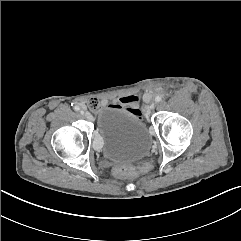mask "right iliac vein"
I'll return each instance as SVG.
<instances>
[{"label":"right iliac vein","mask_w":241,"mask_h":241,"mask_svg":"<svg viewBox=\"0 0 241 241\" xmlns=\"http://www.w3.org/2000/svg\"><path fill=\"white\" fill-rule=\"evenodd\" d=\"M82 115H84V116H86V117H88L89 116V113L88 112H85L84 110H81V112H80Z\"/></svg>","instance_id":"1"}]
</instances>
